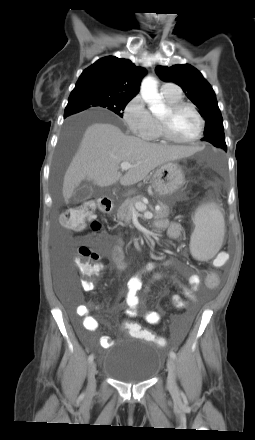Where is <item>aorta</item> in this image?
Segmentation results:
<instances>
[{
  "instance_id": "obj_1",
  "label": "aorta",
  "mask_w": 255,
  "mask_h": 440,
  "mask_svg": "<svg viewBox=\"0 0 255 440\" xmlns=\"http://www.w3.org/2000/svg\"><path fill=\"white\" fill-rule=\"evenodd\" d=\"M157 84L158 83L154 77L147 76L143 79L140 87L141 96L154 115H158L165 110V106L158 93Z\"/></svg>"
}]
</instances>
